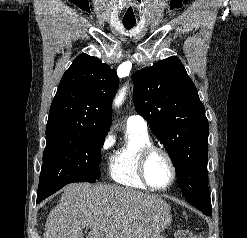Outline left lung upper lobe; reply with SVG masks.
I'll return each instance as SVG.
<instances>
[{"instance_id": "left-lung-upper-lobe-1", "label": "left lung upper lobe", "mask_w": 247, "mask_h": 238, "mask_svg": "<svg viewBox=\"0 0 247 238\" xmlns=\"http://www.w3.org/2000/svg\"><path fill=\"white\" fill-rule=\"evenodd\" d=\"M134 105L175 165L186 200L211 215L208 191V121L197 89L178 57L133 76Z\"/></svg>"}]
</instances>
